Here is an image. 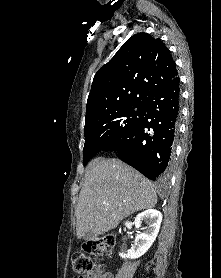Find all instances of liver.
I'll return each mask as SVG.
<instances>
[{
	"instance_id": "liver-1",
	"label": "liver",
	"mask_w": 221,
	"mask_h": 278,
	"mask_svg": "<svg viewBox=\"0 0 221 278\" xmlns=\"http://www.w3.org/2000/svg\"><path fill=\"white\" fill-rule=\"evenodd\" d=\"M156 203L154 185L139 172L116 158H96L87 166L75 209L77 237L104 234Z\"/></svg>"
}]
</instances>
